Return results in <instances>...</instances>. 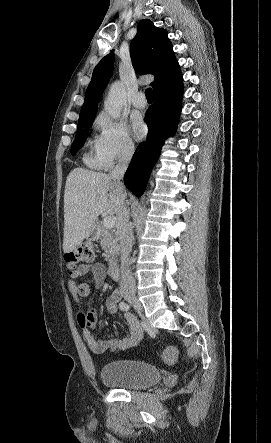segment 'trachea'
Segmentation results:
<instances>
[{"instance_id":"obj_1","label":"trachea","mask_w":271,"mask_h":443,"mask_svg":"<svg viewBox=\"0 0 271 443\" xmlns=\"http://www.w3.org/2000/svg\"><path fill=\"white\" fill-rule=\"evenodd\" d=\"M145 96H146L147 100H152V89L151 88H147L145 90Z\"/></svg>"}]
</instances>
